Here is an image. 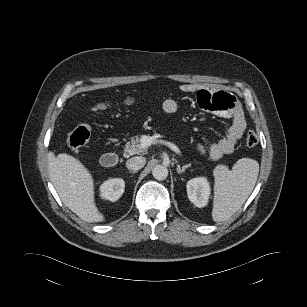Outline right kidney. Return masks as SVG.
<instances>
[{
  "mask_svg": "<svg viewBox=\"0 0 307 307\" xmlns=\"http://www.w3.org/2000/svg\"><path fill=\"white\" fill-rule=\"evenodd\" d=\"M125 182L121 178H112L104 181L100 186V196L102 199L111 202L117 201L123 194Z\"/></svg>",
  "mask_w": 307,
  "mask_h": 307,
  "instance_id": "ca27d5eb",
  "label": "right kidney"
}]
</instances>
